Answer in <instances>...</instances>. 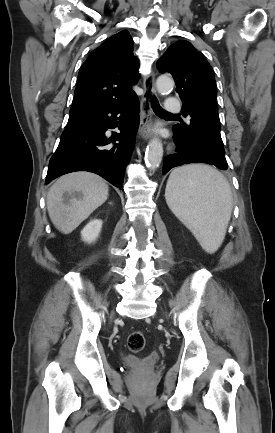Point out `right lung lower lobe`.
<instances>
[{
    "mask_svg": "<svg viewBox=\"0 0 275 433\" xmlns=\"http://www.w3.org/2000/svg\"><path fill=\"white\" fill-rule=\"evenodd\" d=\"M138 106L135 96L125 102L100 105L70 117L50 159L46 184L66 173L89 171L123 189L124 171L139 126ZM117 124L121 133L106 134Z\"/></svg>",
    "mask_w": 275,
    "mask_h": 433,
    "instance_id": "1",
    "label": "right lung lower lobe"
}]
</instances>
